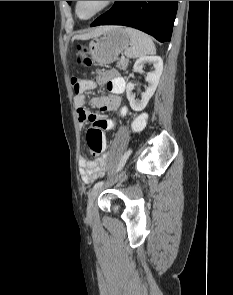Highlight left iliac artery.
I'll use <instances>...</instances> for the list:
<instances>
[{
	"instance_id": "obj_1",
	"label": "left iliac artery",
	"mask_w": 233,
	"mask_h": 295,
	"mask_svg": "<svg viewBox=\"0 0 233 295\" xmlns=\"http://www.w3.org/2000/svg\"><path fill=\"white\" fill-rule=\"evenodd\" d=\"M131 154H132V151L131 150H128L127 152L124 153V155H122V161H120V164L118 165V168L119 169H123L124 168L125 164H127V162H128V157H130ZM103 184H104V181H99V182H97L94 185L93 189L99 188Z\"/></svg>"
}]
</instances>
